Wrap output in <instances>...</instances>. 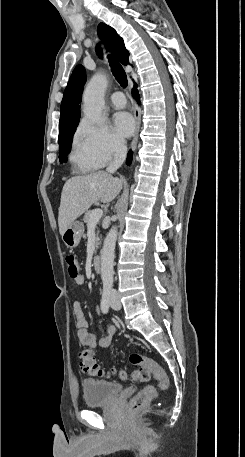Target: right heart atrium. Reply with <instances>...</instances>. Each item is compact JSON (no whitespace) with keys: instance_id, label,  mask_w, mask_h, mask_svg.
I'll list each match as a JSON object with an SVG mask.
<instances>
[{"instance_id":"1","label":"right heart atrium","mask_w":245,"mask_h":457,"mask_svg":"<svg viewBox=\"0 0 245 457\" xmlns=\"http://www.w3.org/2000/svg\"><path fill=\"white\" fill-rule=\"evenodd\" d=\"M82 145L101 165L120 155L125 149L124 141L106 124L83 119L79 128Z\"/></svg>"}]
</instances>
